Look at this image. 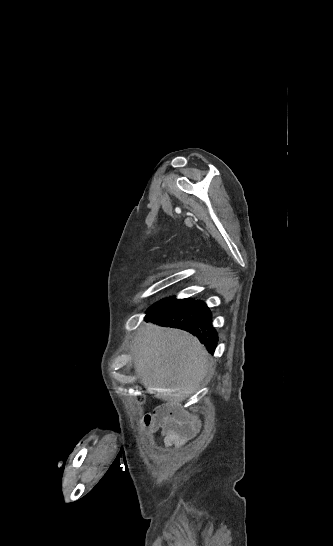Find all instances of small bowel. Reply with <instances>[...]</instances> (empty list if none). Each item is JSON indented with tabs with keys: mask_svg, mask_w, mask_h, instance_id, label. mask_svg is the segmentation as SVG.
<instances>
[{
	"mask_svg": "<svg viewBox=\"0 0 333 546\" xmlns=\"http://www.w3.org/2000/svg\"><path fill=\"white\" fill-rule=\"evenodd\" d=\"M155 427L161 426L163 435V444L165 448L171 446H182L189 439L195 436L200 429V423L190 417H175L165 419L164 417L154 416Z\"/></svg>",
	"mask_w": 333,
	"mask_h": 546,
	"instance_id": "c3829d8e",
	"label": "small bowel"
}]
</instances>
